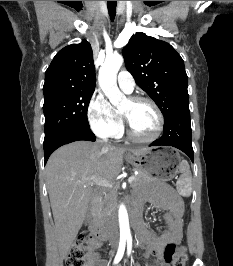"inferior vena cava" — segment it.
Returning a JSON list of instances; mask_svg holds the SVG:
<instances>
[{
  "mask_svg": "<svg viewBox=\"0 0 233 266\" xmlns=\"http://www.w3.org/2000/svg\"><path fill=\"white\" fill-rule=\"evenodd\" d=\"M109 227H110V229H111L112 231L115 232V230H114V222H113V221L110 222V226H109Z\"/></svg>",
  "mask_w": 233,
  "mask_h": 266,
  "instance_id": "1",
  "label": "inferior vena cava"
}]
</instances>
